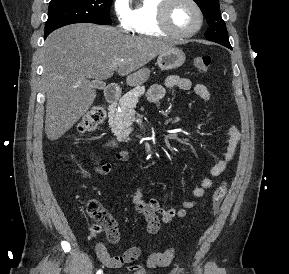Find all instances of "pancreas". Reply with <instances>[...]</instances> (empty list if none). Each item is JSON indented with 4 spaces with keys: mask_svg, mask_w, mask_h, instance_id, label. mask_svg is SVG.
<instances>
[{
    "mask_svg": "<svg viewBox=\"0 0 289 274\" xmlns=\"http://www.w3.org/2000/svg\"><path fill=\"white\" fill-rule=\"evenodd\" d=\"M144 91V88L138 87L126 93L120 98V111L110 116L109 125L118 140H129V135L133 130L131 125L135 119L134 109Z\"/></svg>",
    "mask_w": 289,
    "mask_h": 274,
    "instance_id": "obj_1",
    "label": "pancreas"
}]
</instances>
